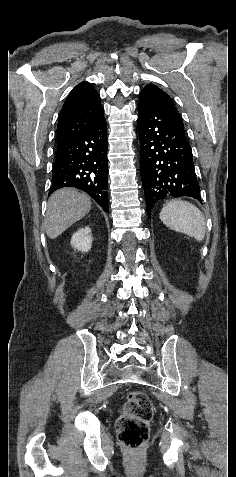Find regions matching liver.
<instances>
[{"label": "liver", "mask_w": 236, "mask_h": 477, "mask_svg": "<svg viewBox=\"0 0 236 477\" xmlns=\"http://www.w3.org/2000/svg\"><path fill=\"white\" fill-rule=\"evenodd\" d=\"M91 209L90 197L72 188L54 192L48 201L45 231L50 239L61 235L72 224L81 220Z\"/></svg>", "instance_id": "liver-1"}]
</instances>
